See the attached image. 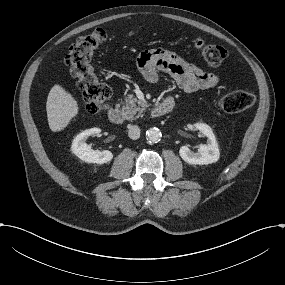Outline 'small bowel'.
Segmentation results:
<instances>
[{"mask_svg": "<svg viewBox=\"0 0 285 285\" xmlns=\"http://www.w3.org/2000/svg\"><path fill=\"white\" fill-rule=\"evenodd\" d=\"M137 63L140 72L147 81L156 83L159 81V72H165L174 79L181 89L188 93L215 87L219 82L217 74L205 72L184 60L177 53L164 48L143 52Z\"/></svg>", "mask_w": 285, "mask_h": 285, "instance_id": "1", "label": "small bowel"}]
</instances>
